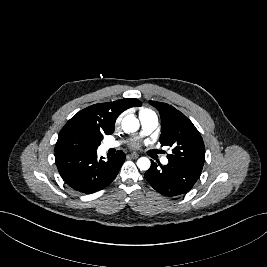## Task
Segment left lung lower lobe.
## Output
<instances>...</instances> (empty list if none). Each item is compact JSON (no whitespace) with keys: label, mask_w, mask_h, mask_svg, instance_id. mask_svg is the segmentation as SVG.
<instances>
[{"label":"left lung lower lobe","mask_w":267,"mask_h":267,"mask_svg":"<svg viewBox=\"0 0 267 267\" xmlns=\"http://www.w3.org/2000/svg\"><path fill=\"white\" fill-rule=\"evenodd\" d=\"M201 171L186 165L169 162L162 166L151 161V167L145 172L148 183L160 194L167 197L187 193L196 183Z\"/></svg>","instance_id":"left-lung-lower-lobe-1"}]
</instances>
